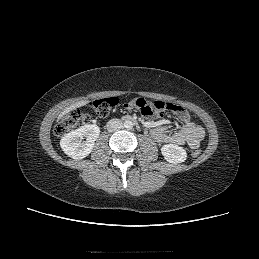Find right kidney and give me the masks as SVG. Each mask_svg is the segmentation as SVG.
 <instances>
[{
	"label": "right kidney",
	"instance_id": "ca27d5eb",
	"mask_svg": "<svg viewBox=\"0 0 259 259\" xmlns=\"http://www.w3.org/2000/svg\"><path fill=\"white\" fill-rule=\"evenodd\" d=\"M99 135L100 128L96 124L84 125L64 135L60 141V146L69 157L83 159L92 152ZM83 137H86L84 142H82Z\"/></svg>",
	"mask_w": 259,
	"mask_h": 259
}]
</instances>
